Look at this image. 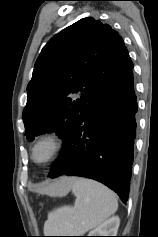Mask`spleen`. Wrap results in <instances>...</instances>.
Segmentation results:
<instances>
[{"label":"spleen","instance_id":"3e777b00","mask_svg":"<svg viewBox=\"0 0 158 237\" xmlns=\"http://www.w3.org/2000/svg\"><path fill=\"white\" fill-rule=\"evenodd\" d=\"M73 206H62L49 212L44 224L46 236H79L103 223L118 208L115 193L94 180L75 178Z\"/></svg>","mask_w":158,"mask_h":237}]
</instances>
